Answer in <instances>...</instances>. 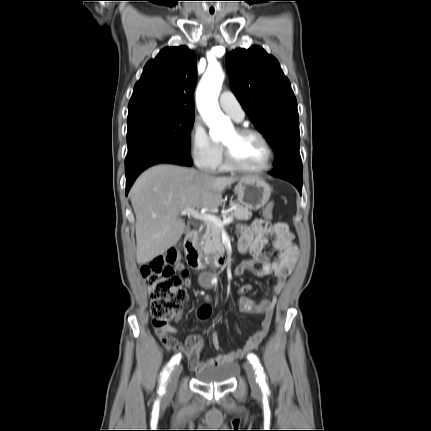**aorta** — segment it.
<instances>
[{
	"label": "aorta",
	"instance_id": "obj_1",
	"mask_svg": "<svg viewBox=\"0 0 431 431\" xmlns=\"http://www.w3.org/2000/svg\"><path fill=\"white\" fill-rule=\"evenodd\" d=\"M224 77L220 66H209L196 91L198 110L208 125L213 140L222 138L225 131L231 128L230 120L222 113L218 104Z\"/></svg>",
	"mask_w": 431,
	"mask_h": 431
}]
</instances>
